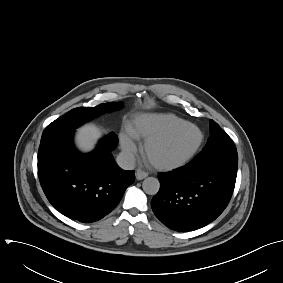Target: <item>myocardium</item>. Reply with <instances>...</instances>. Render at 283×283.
I'll return each mask as SVG.
<instances>
[{
  "label": "myocardium",
  "instance_id": "myocardium-1",
  "mask_svg": "<svg viewBox=\"0 0 283 283\" xmlns=\"http://www.w3.org/2000/svg\"><path fill=\"white\" fill-rule=\"evenodd\" d=\"M183 126L193 127L199 133L198 141L195 144V146L192 148V150L189 153H187L184 157H182L181 159H179V160H177L175 162H171V163H156V162L151 161L148 158V150L150 149V147L163 142L171 134H173L177 129H179L180 127H183ZM203 142H204V133L201 130V128L199 126H197L196 124L192 123V122L182 121L180 123H177V124L171 126L168 129H166L162 133H160V134H158V135H156L154 137L146 139L143 142L142 146H141V153H142L144 159L147 161V163L151 167H153L154 169L159 170V171H174V170H177L179 168L184 167L190 161H192L193 158L197 155V153L201 149V147L203 145Z\"/></svg>",
  "mask_w": 283,
  "mask_h": 283
}]
</instances>
